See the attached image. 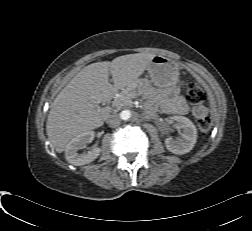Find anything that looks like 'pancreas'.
<instances>
[{"label":"pancreas","mask_w":252,"mask_h":231,"mask_svg":"<svg viewBox=\"0 0 252 231\" xmlns=\"http://www.w3.org/2000/svg\"><path fill=\"white\" fill-rule=\"evenodd\" d=\"M146 86V85H145ZM145 90L148 89V87H144ZM131 104V99L129 96V93L126 91H123L120 96L115 98L114 106L115 109L119 110L124 106H128Z\"/></svg>","instance_id":"cf45deb5"}]
</instances>
